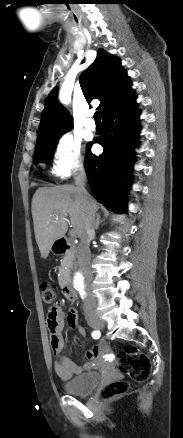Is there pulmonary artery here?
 Wrapping results in <instances>:
<instances>
[{
	"instance_id": "obj_1",
	"label": "pulmonary artery",
	"mask_w": 183,
	"mask_h": 438,
	"mask_svg": "<svg viewBox=\"0 0 183 438\" xmlns=\"http://www.w3.org/2000/svg\"><path fill=\"white\" fill-rule=\"evenodd\" d=\"M85 127H86V129L89 130V131H95V129H96V124H95V122H94L91 118H88V119L85 121Z\"/></svg>"
}]
</instances>
